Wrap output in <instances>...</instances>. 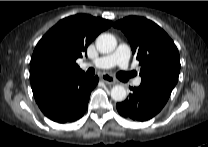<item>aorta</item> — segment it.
<instances>
[{
	"instance_id": "aorta-1",
	"label": "aorta",
	"mask_w": 208,
	"mask_h": 147,
	"mask_svg": "<svg viewBox=\"0 0 208 147\" xmlns=\"http://www.w3.org/2000/svg\"><path fill=\"white\" fill-rule=\"evenodd\" d=\"M117 46L116 38L109 33L100 34L96 39V48L100 53H111ZM111 97L114 101L121 102L127 97L126 89L121 85H116L111 89Z\"/></svg>"
}]
</instances>
